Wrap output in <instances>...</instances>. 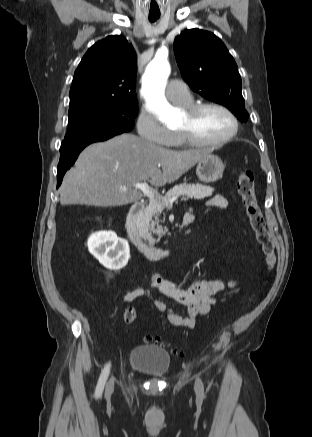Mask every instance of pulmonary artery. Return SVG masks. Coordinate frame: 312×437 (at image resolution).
I'll return each mask as SVG.
<instances>
[{"mask_svg": "<svg viewBox=\"0 0 312 437\" xmlns=\"http://www.w3.org/2000/svg\"><path fill=\"white\" fill-rule=\"evenodd\" d=\"M167 98L178 105H187L191 102L192 97L190 95L188 86L179 80H171L166 86Z\"/></svg>", "mask_w": 312, "mask_h": 437, "instance_id": "e3ab8cb5", "label": "pulmonary artery"}]
</instances>
